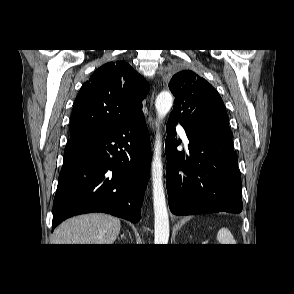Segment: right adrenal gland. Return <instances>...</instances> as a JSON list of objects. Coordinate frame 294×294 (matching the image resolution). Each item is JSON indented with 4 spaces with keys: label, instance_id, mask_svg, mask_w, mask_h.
Returning a JSON list of instances; mask_svg holds the SVG:
<instances>
[{
    "label": "right adrenal gland",
    "instance_id": "right-adrenal-gland-1",
    "mask_svg": "<svg viewBox=\"0 0 294 294\" xmlns=\"http://www.w3.org/2000/svg\"><path fill=\"white\" fill-rule=\"evenodd\" d=\"M121 238H125V235H124V233L121 235Z\"/></svg>",
    "mask_w": 294,
    "mask_h": 294
}]
</instances>
